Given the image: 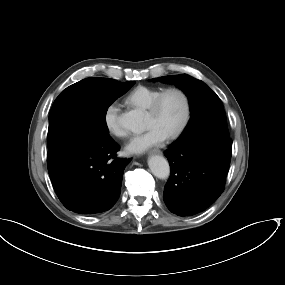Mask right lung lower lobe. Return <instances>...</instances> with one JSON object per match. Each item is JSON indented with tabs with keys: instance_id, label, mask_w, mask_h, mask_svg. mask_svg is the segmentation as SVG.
<instances>
[{
	"instance_id": "98d812e1",
	"label": "right lung lower lobe",
	"mask_w": 285,
	"mask_h": 285,
	"mask_svg": "<svg viewBox=\"0 0 285 285\" xmlns=\"http://www.w3.org/2000/svg\"><path fill=\"white\" fill-rule=\"evenodd\" d=\"M119 148L109 135H78L49 150V176L56 195L68 210L92 215L113 207L129 162L115 158Z\"/></svg>"
}]
</instances>
